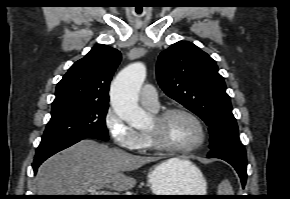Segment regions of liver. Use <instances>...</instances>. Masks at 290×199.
Segmentation results:
<instances>
[{"label":"liver","instance_id":"6515ba94","mask_svg":"<svg viewBox=\"0 0 290 199\" xmlns=\"http://www.w3.org/2000/svg\"><path fill=\"white\" fill-rule=\"evenodd\" d=\"M158 157L133 155L119 148H109L95 140L85 139L50 157L38 169V195H91L89 190L110 188L127 191L136 180L125 174ZM172 168L188 160L172 158L165 161Z\"/></svg>","mask_w":290,"mask_h":199}]
</instances>
